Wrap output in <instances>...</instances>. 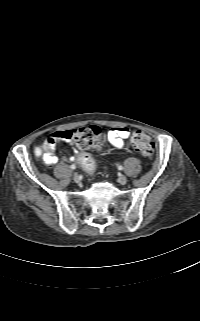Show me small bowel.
Instances as JSON below:
<instances>
[{"instance_id": "1", "label": "small bowel", "mask_w": 200, "mask_h": 321, "mask_svg": "<svg viewBox=\"0 0 200 321\" xmlns=\"http://www.w3.org/2000/svg\"><path fill=\"white\" fill-rule=\"evenodd\" d=\"M70 130L57 131L51 133L44 141L41 148L38 149L37 153L42 157L45 164L53 166L58 162V157L54 154L55 145L58 142H71L72 140L67 137ZM130 136V130L127 127H114L110 129L107 133V139L110 145L116 149L120 150L123 148L130 149V144L128 142ZM75 156H70L65 160L74 161Z\"/></svg>"}]
</instances>
